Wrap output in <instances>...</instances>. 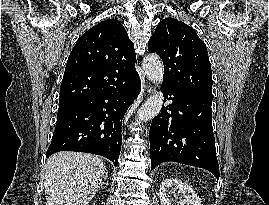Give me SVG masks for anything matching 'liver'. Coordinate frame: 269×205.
Returning a JSON list of instances; mask_svg holds the SVG:
<instances>
[{
    "instance_id": "6515ba94",
    "label": "liver",
    "mask_w": 269,
    "mask_h": 205,
    "mask_svg": "<svg viewBox=\"0 0 269 205\" xmlns=\"http://www.w3.org/2000/svg\"><path fill=\"white\" fill-rule=\"evenodd\" d=\"M103 161L81 152H59L46 164L44 188L48 205H87L102 185Z\"/></svg>"
}]
</instances>
